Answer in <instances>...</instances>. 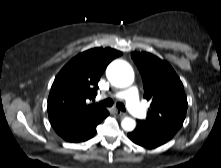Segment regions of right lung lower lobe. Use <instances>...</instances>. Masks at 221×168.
<instances>
[{
	"instance_id": "right-lung-lower-lobe-1",
	"label": "right lung lower lobe",
	"mask_w": 221,
	"mask_h": 168,
	"mask_svg": "<svg viewBox=\"0 0 221 168\" xmlns=\"http://www.w3.org/2000/svg\"><path fill=\"white\" fill-rule=\"evenodd\" d=\"M109 115L106 110L99 117L90 121H81L69 127L55 130L56 133L68 142H83L92 138L96 133V126Z\"/></svg>"
}]
</instances>
